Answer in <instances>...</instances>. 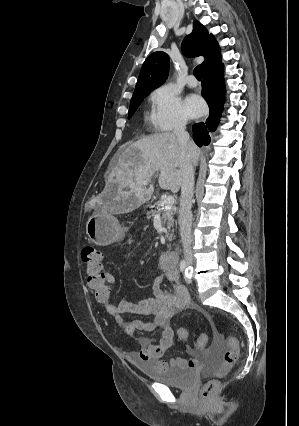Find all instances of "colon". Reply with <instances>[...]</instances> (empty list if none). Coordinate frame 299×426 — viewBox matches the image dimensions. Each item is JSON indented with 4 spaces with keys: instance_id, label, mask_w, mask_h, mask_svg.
<instances>
[{
    "instance_id": "colon-1",
    "label": "colon",
    "mask_w": 299,
    "mask_h": 426,
    "mask_svg": "<svg viewBox=\"0 0 299 426\" xmlns=\"http://www.w3.org/2000/svg\"><path fill=\"white\" fill-rule=\"evenodd\" d=\"M81 258L85 265L87 273V285L94 293L96 300L106 305L113 300V291L111 286L105 281L103 272V262L101 252L94 246H85L81 252ZM187 329L180 327L177 330V338L180 341H186ZM207 343V337L202 335L195 343L196 348H204ZM228 349L224 354V364L217 369L213 378L207 380L201 388L200 395L205 401L210 400L219 387V378L224 377L229 368L236 363L239 356V346L235 337L229 336L226 339Z\"/></svg>"
}]
</instances>
